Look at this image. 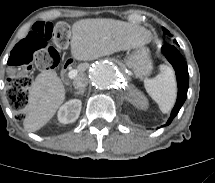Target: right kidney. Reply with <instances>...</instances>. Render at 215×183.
<instances>
[{"label":"right kidney","mask_w":215,"mask_h":183,"mask_svg":"<svg viewBox=\"0 0 215 183\" xmlns=\"http://www.w3.org/2000/svg\"><path fill=\"white\" fill-rule=\"evenodd\" d=\"M82 102L79 99H72L63 104L58 110L60 123L68 124L75 122L80 114Z\"/></svg>","instance_id":"right-kidney-1"}]
</instances>
